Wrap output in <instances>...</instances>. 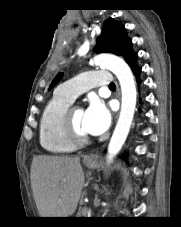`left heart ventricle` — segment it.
<instances>
[{
    "mask_svg": "<svg viewBox=\"0 0 181 227\" xmlns=\"http://www.w3.org/2000/svg\"><path fill=\"white\" fill-rule=\"evenodd\" d=\"M83 118H84V111L80 108H77L73 111V121L76 129L85 135H88V133L85 131L83 126Z\"/></svg>",
    "mask_w": 181,
    "mask_h": 227,
    "instance_id": "1",
    "label": "left heart ventricle"
}]
</instances>
